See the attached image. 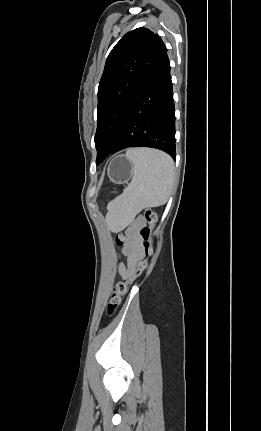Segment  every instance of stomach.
I'll return each mask as SVG.
<instances>
[{
  "instance_id": "stomach-1",
  "label": "stomach",
  "mask_w": 261,
  "mask_h": 431,
  "mask_svg": "<svg viewBox=\"0 0 261 431\" xmlns=\"http://www.w3.org/2000/svg\"><path fill=\"white\" fill-rule=\"evenodd\" d=\"M107 175L114 184L127 183L133 176V164L125 156L119 155L109 163Z\"/></svg>"
}]
</instances>
